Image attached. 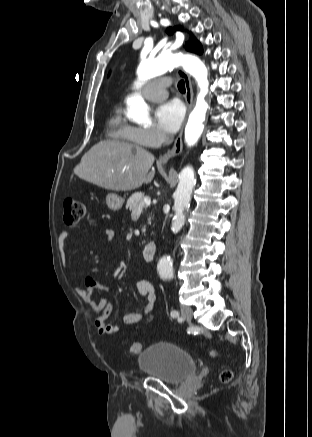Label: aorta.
<instances>
[{"mask_svg": "<svg viewBox=\"0 0 312 437\" xmlns=\"http://www.w3.org/2000/svg\"><path fill=\"white\" fill-rule=\"evenodd\" d=\"M177 66H182L185 71L192 75L197 81L200 92L197 96L196 106L189 115L185 127V142L188 146H193L200 138L203 129L205 114L208 103L205 95L208 92V71L204 63L195 56L183 54L162 53L155 59L142 60L138 70V80L146 81ZM139 85L141 83H138ZM127 116L139 124H147L150 119L148 115V105L139 94H134L127 100ZM195 184L194 170L192 167H185L179 176V184L174 193L175 215L172 220L171 230L173 233L179 232L184 223V212L187 210ZM157 270L162 276H169L173 273V262L169 256L161 258L157 265Z\"/></svg>", "mask_w": 312, "mask_h": 437, "instance_id": "762f6f07", "label": "aorta"}]
</instances>
